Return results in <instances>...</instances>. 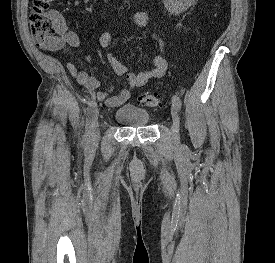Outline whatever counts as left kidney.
Wrapping results in <instances>:
<instances>
[{"instance_id": "obj_1", "label": "left kidney", "mask_w": 275, "mask_h": 263, "mask_svg": "<svg viewBox=\"0 0 275 263\" xmlns=\"http://www.w3.org/2000/svg\"><path fill=\"white\" fill-rule=\"evenodd\" d=\"M165 8L174 15H179L186 11L195 0H163Z\"/></svg>"}]
</instances>
